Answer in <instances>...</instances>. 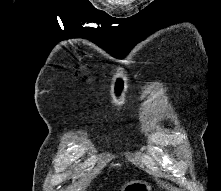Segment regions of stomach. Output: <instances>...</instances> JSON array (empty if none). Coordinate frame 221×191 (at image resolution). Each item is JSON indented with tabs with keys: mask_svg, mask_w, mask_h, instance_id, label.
I'll return each mask as SVG.
<instances>
[{
	"mask_svg": "<svg viewBox=\"0 0 221 191\" xmlns=\"http://www.w3.org/2000/svg\"><path fill=\"white\" fill-rule=\"evenodd\" d=\"M120 191H151V185L142 180H134L123 184Z\"/></svg>",
	"mask_w": 221,
	"mask_h": 191,
	"instance_id": "0dacf381",
	"label": "stomach"
}]
</instances>
